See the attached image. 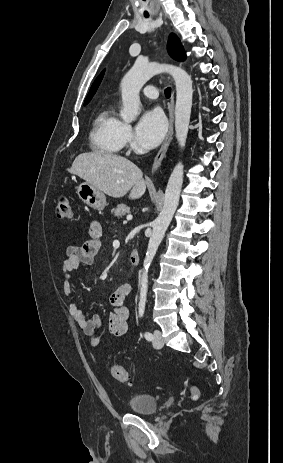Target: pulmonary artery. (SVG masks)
Masks as SVG:
<instances>
[{
	"mask_svg": "<svg viewBox=\"0 0 283 463\" xmlns=\"http://www.w3.org/2000/svg\"><path fill=\"white\" fill-rule=\"evenodd\" d=\"M142 94L150 99H156L158 97V92L155 86L149 85L142 89Z\"/></svg>",
	"mask_w": 283,
	"mask_h": 463,
	"instance_id": "pulmonary-artery-1",
	"label": "pulmonary artery"
}]
</instances>
